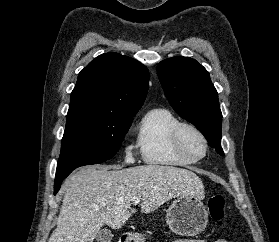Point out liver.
<instances>
[{
  "mask_svg": "<svg viewBox=\"0 0 279 242\" xmlns=\"http://www.w3.org/2000/svg\"><path fill=\"white\" fill-rule=\"evenodd\" d=\"M62 192L57 228L48 242H93L103 225L120 229L126 223L134 197L141 198V211L150 213L175 197L201 199L204 186L194 172L172 166H87L64 181Z\"/></svg>",
  "mask_w": 279,
  "mask_h": 242,
  "instance_id": "1",
  "label": "liver"
}]
</instances>
